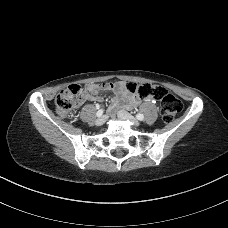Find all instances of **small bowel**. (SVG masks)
Returning a JSON list of instances; mask_svg holds the SVG:
<instances>
[{
	"label": "small bowel",
	"mask_w": 228,
	"mask_h": 228,
	"mask_svg": "<svg viewBox=\"0 0 228 228\" xmlns=\"http://www.w3.org/2000/svg\"><path fill=\"white\" fill-rule=\"evenodd\" d=\"M100 91H113L114 93L109 106V112L111 114H114L121 106H125L130 109L136 107L140 103L138 96L130 94L126 89V84L119 81L115 83L88 84L79 99V104L89 101H102V97L98 94ZM144 100L147 102H153L154 98L149 97Z\"/></svg>",
	"instance_id": "obj_1"
}]
</instances>
